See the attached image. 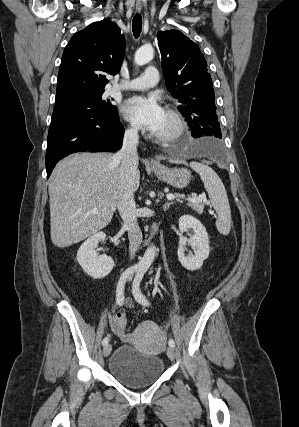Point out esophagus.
I'll list each match as a JSON object with an SVG mask.
<instances>
[{"label": "esophagus", "instance_id": "1", "mask_svg": "<svg viewBox=\"0 0 299 427\" xmlns=\"http://www.w3.org/2000/svg\"><path fill=\"white\" fill-rule=\"evenodd\" d=\"M141 8H142V6H141V4H136V9H137V11H140L141 10ZM150 164L152 165V166H156V165H158V161L155 159V158H153V157H151L150 158Z\"/></svg>", "mask_w": 299, "mask_h": 427}]
</instances>
